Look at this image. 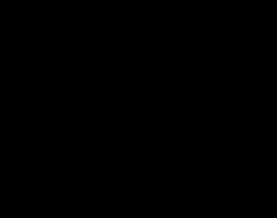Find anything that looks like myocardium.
Returning <instances> with one entry per match:
<instances>
[{
  "instance_id": "obj_1",
  "label": "myocardium",
  "mask_w": 277,
  "mask_h": 218,
  "mask_svg": "<svg viewBox=\"0 0 277 218\" xmlns=\"http://www.w3.org/2000/svg\"><path fill=\"white\" fill-rule=\"evenodd\" d=\"M163 68L166 76L159 82L160 97H166L167 95H169L175 85L176 80L175 70L171 65L164 64Z\"/></svg>"
}]
</instances>
